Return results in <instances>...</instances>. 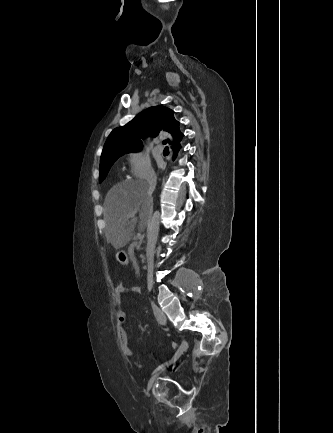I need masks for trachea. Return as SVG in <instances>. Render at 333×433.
<instances>
[{
	"label": "trachea",
	"instance_id": "3493384b",
	"mask_svg": "<svg viewBox=\"0 0 333 433\" xmlns=\"http://www.w3.org/2000/svg\"><path fill=\"white\" fill-rule=\"evenodd\" d=\"M163 144L166 145V144H167V140H164V141H163ZM166 148H168V147H166Z\"/></svg>",
	"mask_w": 333,
	"mask_h": 433
}]
</instances>
